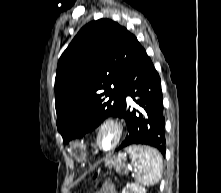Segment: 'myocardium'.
Instances as JSON below:
<instances>
[{
  "instance_id": "myocardium-1",
  "label": "myocardium",
  "mask_w": 221,
  "mask_h": 193,
  "mask_svg": "<svg viewBox=\"0 0 221 193\" xmlns=\"http://www.w3.org/2000/svg\"><path fill=\"white\" fill-rule=\"evenodd\" d=\"M105 129H111V130H113V132L115 134L114 141L108 148H104L101 145V141H100L101 140V135H102V133ZM123 133H124V127H123L122 122L118 118L111 117V116L106 117L99 123V125L96 128V131H95V145L101 151H104V152L114 150L119 145V143L121 142V140L123 138Z\"/></svg>"
}]
</instances>
